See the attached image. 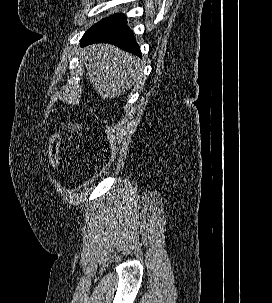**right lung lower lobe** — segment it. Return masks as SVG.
Here are the masks:
<instances>
[{"mask_svg": "<svg viewBox=\"0 0 272 303\" xmlns=\"http://www.w3.org/2000/svg\"><path fill=\"white\" fill-rule=\"evenodd\" d=\"M93 43H110L141 56L135 37L126 25V19L86 32L81 39V45L86 46Z\"/></svg>", "mask_w": 272, "mask_h": 303, "instance_id": "98d812e1", "label": "right lung lower lobe"}]
</instances>
